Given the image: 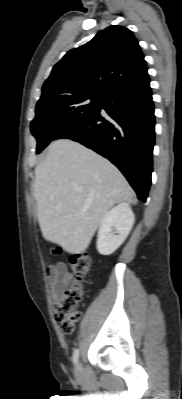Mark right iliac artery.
Listing matches in <instances>:
<instances>
[{
  "label": "right iliac artery",
  "mask_w": 182,
  "mask_h": 399,
  "mask_svg": "<svg viewBox=\"0 0 182 399\" xmlns=\"http://www.w3.org/2000/svg\"><path fill=\"white\" fill-rule=\"evenodd\" d=\"M73 362H74V364H76L77 362H78V359H79V350L78 349H76L75 351H74V353H73Z\"/></svg>",
  "instance_id": "obj_1"
}]
</instances>
